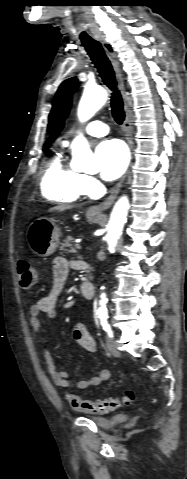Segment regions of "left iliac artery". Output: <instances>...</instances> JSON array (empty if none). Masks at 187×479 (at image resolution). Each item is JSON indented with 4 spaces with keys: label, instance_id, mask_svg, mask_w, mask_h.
<instances>
[{
    "label": "left iliac artery",
    "instance_id": "44dca946",
    "mask_svg": "<svg viewBox=\"0 0 187 479\" xmlns=\"http://www.w3.org/2000/svg\"><path fill=\"white\" fill-rule=\"evenodd\" d=\"M100 318V323L103 327V329L106 331V333L108 334L109 337H113V332H112V329L107 321L108 319V315L107 314H103V315H100L99 316Z\"/></svg>",
    "mask_w": 187,
    "mask_h": 479
}]
</instances>
